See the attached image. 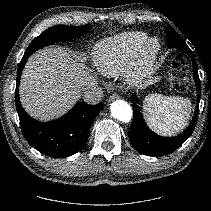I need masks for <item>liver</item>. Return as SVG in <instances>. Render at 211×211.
Masks as SVG:
<instances>
[{"label":"liver","mask_w":211,"mask_h":211,"mask_svg":"<svg viewBox=\"0 0 211 211\" xmlns=\"http://www.w3.org/2000/svg\"><path fill=\"white\" fill-rule=\"evenodd\" d=\"M97 84L78 58L61 47H47L27 61L20 82V101L26 112L40 121L64 115L80 98L85 86Z\"/></svg>","instance_id":"obj_1"}]
</instances>
